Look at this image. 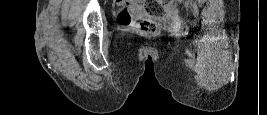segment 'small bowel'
<instances>
[{"mask_svg":"<svg viewBox=\"0 0 267 115\" xmlns=\"http://www.w3.org/2000/svg\"><path fill=\"white\" fill-rule=\"evenodd\" d=\"M119 4L122 7H127L130 11H134L136 13H139L143 10L142 6L135 2L121 1Z\"/></svg>","mask_w":267,"mask_h":115,"instance_id":"obj_1","label":"small bowel"}]
</instances>
